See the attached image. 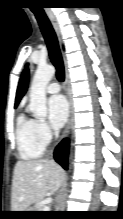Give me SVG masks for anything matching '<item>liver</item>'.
I'll return each mask as SVG.
<instances>
[{"label": "liver", "instance_id": "6515ba94", "mask_svg": "<svg viewBox=\"0 0 123 219\" xmlns=\"http://www.w3.org/2000/svg\"><path fill=\"white\" fill-rule=\"evenodd\" d=\"M63 179V169L52 160L18 161L12 183V211H26L48 193L54 194Z\"/></svg>", "mask_w": 123, "mask_h": 219}]
</instances>
